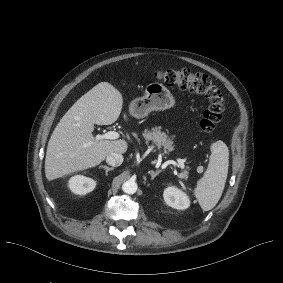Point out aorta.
I'll return each instance as SVG.
<instances>
[{
  "label": "aorta",
  "instance_id": "762f6f07",
  "mask_svg": "<svg viewBox=\"0 0 283 283\" xmlns=\"http://www.w3.org/2000/svg\"><path fill=\"white\" fill-rule=\"evenodd\" d=\"M137 188V183L132 179L125 181L122 185V190L127 194H134Z\"/></svg>",
  "mask_w": 283,
  "mask_h": 283
}]
</instances>
